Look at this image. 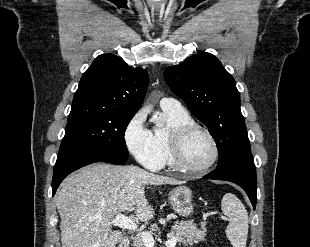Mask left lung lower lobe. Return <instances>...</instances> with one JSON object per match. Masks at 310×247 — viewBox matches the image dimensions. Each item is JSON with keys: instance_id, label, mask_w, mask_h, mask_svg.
Returning <instances> with one entry per match:
<instances>
[{"instance_id": "1", "label": "left lung lower lobe", "mask_w": 310, "mask_h": 247, "mask_svg": "<svg viewBox=\"0 0 310 247\" xmlns=\"http://www.w3.org/2000/svg\"><path fill=\"white\" fill-rule=\"evenodd\" d=\"M203 178L226 180L241 186L247 193L253 208L256 206L257 177L254 162L250 153L231 163L217 166L213 172Z\"/></svg>"}]
</instances>
